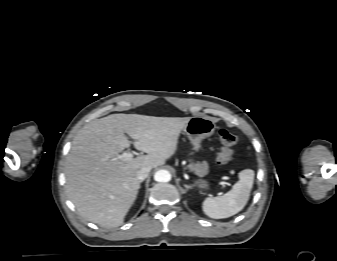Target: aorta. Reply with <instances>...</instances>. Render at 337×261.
Here are the masks:
<instances>
[{"instance_id": "1", "label": "aorta", "mask_w": 337, "mask_h": 261, "mask_svg": "<svg viewBox=\"0 0 337 261\" xmlns=\"http://www.w3.org/2000/svg\"><path fill=\"white\" fill-rule=\"evenodd\" d=\"M154 180L157 182H169L171 174L167 170H159L155 173Z\"/></svg>"}]
</instances>
